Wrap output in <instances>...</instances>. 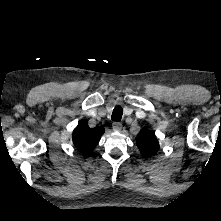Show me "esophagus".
I'll return each instance as SVG.
<instances>
[{
    "mask_svg": "<svg viewBox=\"0 0 221 221\" xmlns=\"http://www.w3.org/2000/svg\"><path fill=\"white\" fill-rule=\"evenodd\" d=\"M112 127H113V130H114L115 132H120L121 129H122V124L119 123V122H114V123L112 124Z\"/></svg>",
    "mask_w": 221,
    "mask_h": 221,
    "instance_id": "34e87169",
    "label": "esophagus"
}]
</instances>
